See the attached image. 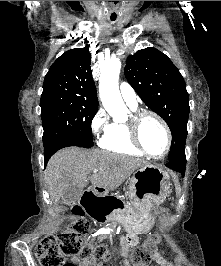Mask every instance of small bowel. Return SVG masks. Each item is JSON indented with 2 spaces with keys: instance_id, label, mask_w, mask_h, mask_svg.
I'll return each mask as SVG.
<instances>
[{
  "instance_id": "small-bowel-1",
  "label": "small bowel",
  "mask_w": 221,
  "mask_h": 266,
  "mask_svg": "<svg viewBox=\"0 0 221 266\" xmlns=\"http://www.w3.org/2000/svg\"><path fill=\"white\" fill-rule=\"evenodd\" d=\"M103 231V230H101ZM98 232V231H97ZM97 232H92L91 236H97ZM138 243V235L135 233L128 234L125 238L121 241V255L124 258H127L130 251L137 245ZM74 261H79L77 258H73ZM153 266H173L172 263L165 259L163 252H156L153 255ZM124 266H129L128 262L124 260ZM79 266H102L99 260L96 259H88L79 261Z\"/></svg>"
}]
</instances>
